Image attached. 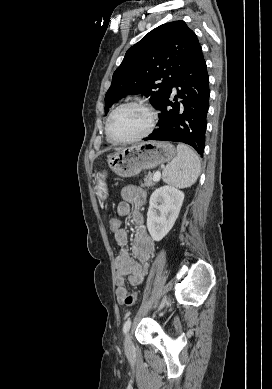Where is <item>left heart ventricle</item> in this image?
Returning a JSON list of instances; mask_svg holds the SVG:
<instances>
[{"instance_id": "b2bd125f", "label": "left heart ventricle", "mask_w": 272, "mask_h": 389, "mask_svg": "<svg viewBox=\"0 0 272 389\" xmlns=\"http://www.w3.org/2000/svg\"><path fill=\"white\" fill-rule=\"evenodd\" d=\"M148 125L147 113L137 106L118 110L110 122V133L115 139H127L141 133Z\"/></svg>"}]
</instances>
